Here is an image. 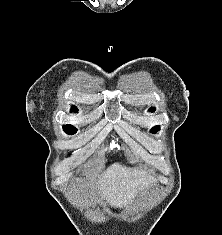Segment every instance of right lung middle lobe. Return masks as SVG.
Segmentation results:
<instances>
[{
  "label": "right lung middle lobe",
  "mask_w": 222,
  "mask_h": 235,
  "mask_svg": "<svg viewBox=\"0 0 222 235\" xmlns=\"http://www.w3.org/2000/svg\"><path fill=\"white\" fill-rule=\"evenodd\" d=\"M63 129H64V131H65L66 133H68V134H74V133H76V131H77V129H76L74 126H72V125H65V126L63 127Z\"/></svg>",
  "instance_id": "dd1d6c3e"
}]
</instances>
